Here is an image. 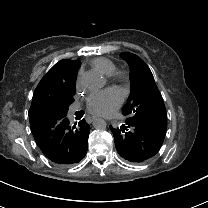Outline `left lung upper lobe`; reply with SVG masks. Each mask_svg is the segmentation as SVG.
I'll list each match as a JSON object with an SVG mask.
<instances>
[{"label": "left lung upper lobe", "instance_id": "5c2ea615", "mask_svg": "<svg viewBox=\"0 0 208 208\" xmlns=\"http://www.w3.org/2000/svg\"><path fill=\"white\" fill-rule=\"evenodd\" d=\"M131 68V93L123 114L166 133L167 116L165 105L146 63L132 53H121Z\"/></svg>", "mask_w": 208, "mask_h": 208}]
</instances>
